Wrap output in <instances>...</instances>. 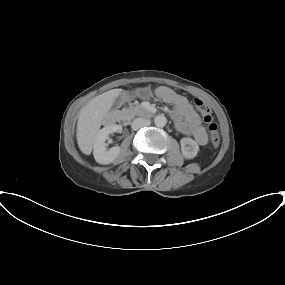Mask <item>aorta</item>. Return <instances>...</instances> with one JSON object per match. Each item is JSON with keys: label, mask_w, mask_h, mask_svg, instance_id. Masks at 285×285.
Returning a JSON list of instances; mask_svg holds the SVG:
<instances>
[{"label": "aorta", "mask_w": 285, "mask_h": 285, "mask_svg": "<svg viewBox=\"0 0 285 285\" xmlns=\"http://www.w3.org/2000/svg\"><path fill=\"white\" fill-rule=\"evenodd\" d=\"M154 123L157 127H164L167 123V119L163 114L157 115L154 119Z\"/></svg>", "instance_id": "762f6f07"}]
</instances>
